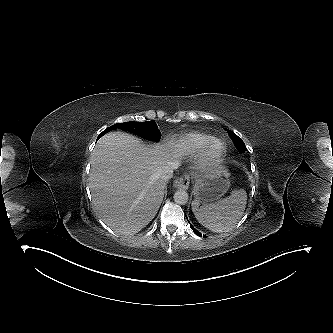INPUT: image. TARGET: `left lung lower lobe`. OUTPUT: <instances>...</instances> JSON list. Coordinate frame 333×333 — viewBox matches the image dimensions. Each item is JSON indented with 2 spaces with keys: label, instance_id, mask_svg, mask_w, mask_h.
Wrapping results in <instances>:
<instances>
[{
  "label": "left lung lower lobe",
  "instance_id": "0a47b994",
  "mask_svg": "<svg viewBox=\"0 0 333 333\" xmlns=\"http://www.w3.org/2000/svg\"><path fill=\"white\" fill-rule=\"evenodd\" d=\"M187 218V217H186ZM187 221H188V219H187ZM189 222V221H188ZM190 227L193 229V231H194V233L196 234V235H198V236H202V234L199 232V231H197L191 224H190Z\"/></svg>",
  "mask_w": 333,
  "mask_h": 333
}]
</instances>
